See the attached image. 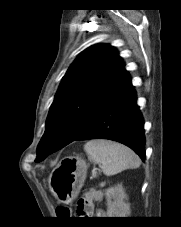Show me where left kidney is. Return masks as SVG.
<instances>
[{"label":"left kidney","instance_id":"5707ae66","mask_svg":"<svg viewBox=\"0 0 181 227\" xmlns=\"http://www.w3.org/2000/svg\"><path fill=\"white\" fill-rule=\"evenodd\" d=\"M106 197L108 217H129L131 213L130 204L125 202L127 195L122 184L108 188Z\"/></svg>","mask_w":181,"mask_h":227}]
</instances>
